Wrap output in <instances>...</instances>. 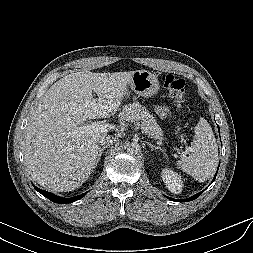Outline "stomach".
<instances>
[{
	"mask_svg": "<svg viewBox=\"0 0 253 253\" xmlns=\"http://www.w3.org/2000/svg\"><path fill=\"white\" fill-rule=\"evenodd\" d=\"M127 86L138 96L145 98L156 95L160 88L157 76L147 70L135 71ZM126 94L128 95L127 90Z\"/></svg>",
	"mask_w": 253,
	"mask_h": 253,
	"instance_id": "1",
	"label": "stomach"
}]
</instances>
